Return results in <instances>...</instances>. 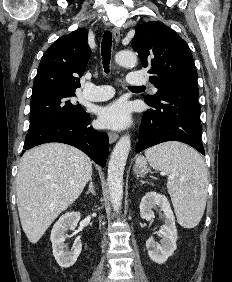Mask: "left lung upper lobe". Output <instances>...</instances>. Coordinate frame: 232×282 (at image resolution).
I'll list each match as a JSON object with an SVG mask.
<instances>
[{
	"mask_svg": "<svg viewBox=\"0 0 232 282\" xmlns=\"http://www.w3.org/2000/svg\"><path fill=\"white\" fill-rule=\"evenodd\" d=\"M132 47L143 67L151 74L150 82L158 92L145 96V102L157 103L166 90L198 91L197 72L187 43L159 21L137 25Z\"/></svg>",
	"mask_w": 232,
	"mask_h": 282,
	"instance_id": "obj_1",
	"label": "left lung upper lobe"
}]
</instances>
